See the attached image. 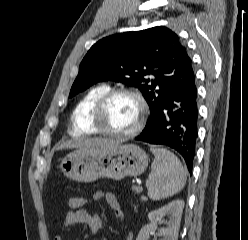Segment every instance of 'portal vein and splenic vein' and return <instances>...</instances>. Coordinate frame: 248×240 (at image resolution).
I'll return each instance as SVG.
<instances>
[{"mask_svg":"<svg viewBox=\"0 0 248 240\" xmlns=\"http://www.w3.org/2000/svg\"><path fill=\"white\" fill-rule=\"evenodd\" d=\"M137 189L142 190V187L141 186H138Z\"/></svg>","mask_w":248,"mask_h":240,"instance_id":"18ae733b","label":"portal vein and splenic vein"}]
</instances>
